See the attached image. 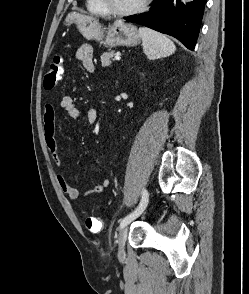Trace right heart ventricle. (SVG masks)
Returning <instances> with one entry per match:
<instances>
[{
  "label": "right heart ventricle",
  "mask_w": 249,
  "mask_h": 294,
  "mask_svg": "<svg viewBox=\"0 0 249 294\" xmlns=\"http://www.w3.org/2000/svg\"><path fill=\"white\" fill-rule=\"evenodd\" d=\"M87 9L96 15H106L105 10L101 7L98 0H86Z\"/></svg>",
  "instance_id": "obj_1"
}]
</instances>
